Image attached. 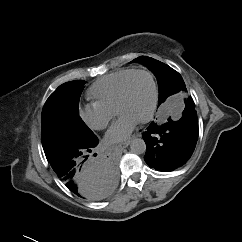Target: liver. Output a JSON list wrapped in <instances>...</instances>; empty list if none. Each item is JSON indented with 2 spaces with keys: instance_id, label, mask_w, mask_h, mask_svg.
<instances>
[{
  "instance_id": "1",
  "label": "liver",
  "mask_w": 242,
  "mask_h": 242,
  "mask_svg": "<svg viewBox=\"0 0 242 242\" xmlns=\"http://www.w3.org/2000/svg\"><path fill=\"white\" fill-rule=\"evenodd\" d=\"M104 177H102L98 183L90 184L87 188H85L84 197L89 200H99L104 198L108 193L106 192L105 182L103 181Z\"/></svg>"
}]
</instances>
